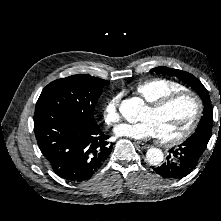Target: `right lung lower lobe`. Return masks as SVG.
Segmentation results:
<instances>
[{
    "label": "right lung lower lobe",
    "mask_w": 221,
    "mask_h": 221,
    "mask_svg": "<svg viewBox=\"0 0 221 221\" xmlns=\"http://www.w3.org/2000/svg\"><path fill=\"white\" fill-rule=\"evenodd\" d=\"M37 144L53 171L68 181H83L103 165L113 143L97 124H85L46 106H36Z\"/></svg>",
    "instance_id": "obj_1"
}]
</instances>
